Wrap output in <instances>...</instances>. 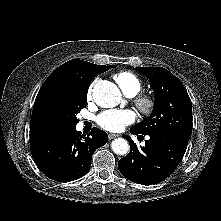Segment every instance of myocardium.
Listing matches in <instances>:
<instances>
[{
  "label": "myocardium",
  "instance_id": "myocardium-1",
  "mask_svg": "<svg viewBox=\"0 0 221 221\" xmlns=\"http://www.w3.org/2000/svg\"><path fill=\"white\" fill-rule=\"evenodd\" d=\"M135 105L139 109V111L145 115H150L153 113L156 100L153 95L148 93H141L135 98Z\"/></svg>",
  "mask_w": 221,
  "mask_h": 221
}]
</instances>
